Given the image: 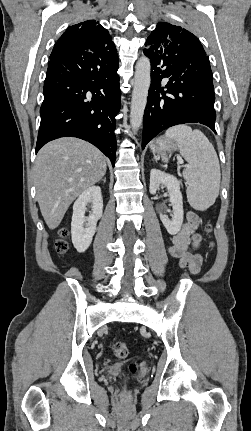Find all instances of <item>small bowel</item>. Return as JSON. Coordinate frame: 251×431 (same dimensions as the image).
<instances>
[{"instance_id":"small-bowel-1","label":"small bowel","mask_w":251,"mask_h":431,"mask_svg":"<svg viewBox=\"0 0 251 431\" xmlns=\"http://www.w3.org/2000/svg\"><path fill=\"white\" fill-rule=\"evenodd\" d=\"M199 217L194 212H188L181 230L172 237L169 247L171 257L178 260L181 268H187L191 273L199 272L202 265V256L199 248L202 236L198 233Z\"/></svg>"}]
</instances>
